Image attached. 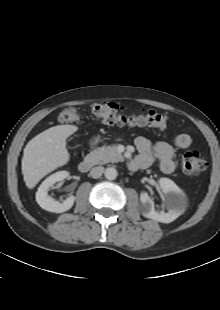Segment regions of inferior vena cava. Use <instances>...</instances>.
Masks as SVG:
<instances>
[{
    "instance_id": "obj_1",
    "label": "inferior vena cava",
    "mask_w": 220,
    "mask_h": 310,
    "mask_svg": "<svg viewBox=\"0 0 220 310\" xmlns=\"http://www.w3.org/2000/svg\"><path fill=\"white\" fill-rule=\"evenodd\" d=\"M102 173H104V167L97 166V167L92 168L90 175L92 178L96 179V178L101 177Z\"/></svg>"
}]
</instances>
